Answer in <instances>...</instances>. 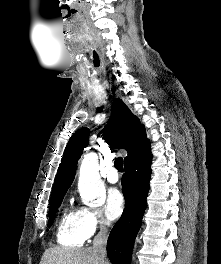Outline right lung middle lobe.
Masks as SVG:
<instances>
[{"label": "right lung middle lobe", "instance_id": "obj_1", "mask_svg": "<svg viewBox=\"0 0 221 264\" xmlns=\"http://www.w3.org/2000/svg\"><path fill=\"white\" fill-rule=\"evenodd\" d=\"M64 195L65 194H61V195H58V196L50 199V212H49L48 227H51L53 220L55 218L56 212L58 210V207L60 206Z\"/></svg>", "mask_w": 221, "mask_h": 264}]
</instances>
